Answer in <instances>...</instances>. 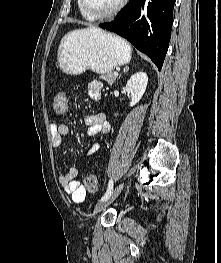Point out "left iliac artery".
I'll list each match as a JSON object with an SVG mask.
<instances>
[{
  "label": "left iliac artery",
  "mask_w": 221,
  "mask_h": 263,
  "mask_svg": "<svg viewBox=\"0 0 221 263\" xmlns=\"http://www.w3.org/2000/svg\"><path fill=\"white\" fill-rule=\"evenodd\" d=\"M112 191H113V181L110 180V182H109V184H108L107 191H106V193L104 194V196L101 198V201L107 199V198L111 195Z\"/></svg>",
  "instance_id": "1"
}]
</instances>
